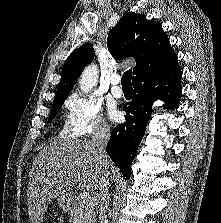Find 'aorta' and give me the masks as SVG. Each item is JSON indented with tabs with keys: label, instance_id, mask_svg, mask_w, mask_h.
I'll return each instance as SVG.
<instances>
[{
	"label": "aorta",
	"instance_id": "1",
	"mask_svg": "<svg viewBox=\"0 0 221 223\" xmlns=\"http://www.w3.org/2000/svg\"><path fill=\"white\" fill-rule=\"evenodd\" d=\"M99 71L96 65L92 64L85 68L80 80L79 86L82 92L88 93L90 89L97 85Z\"/></svg>",
	"mask_w": 221,
	"mask_h": 223
}]
</instances>
